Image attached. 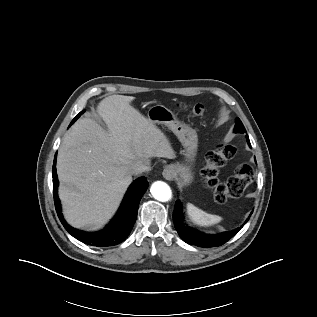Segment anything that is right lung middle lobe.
I'll return each instance as SVG.
<instances>
[{"label": "right lung middle lobe", "mask_w": 317, "mask_h": 317, "mask_svg": "<svg viewBox=\"0 0 317 317\" xmlns=\"http://www.w3.org/2000/svg\"><path fill=\"white\" fill-rule=\"evenodd\" d=\"M83 112H80L75 118L74 120H76Z\"/></svg>", "instance_id": "obj_1"}]
</instances>
